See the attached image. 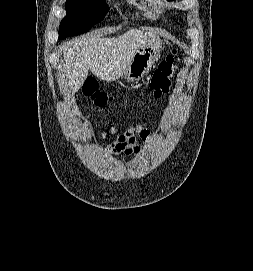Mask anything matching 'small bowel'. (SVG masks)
Listing matches in <instances>:
<instances>
[{"label":"small bowel","instance_id":"1","mask_svg":"<svg viewBox=\"0 0 253 271\" xmlns=\"http://www.w3.org/2000/svg\"><path fill=\"white\" fill-rule=\"evenodd\" d=\"M115 133L116 129L111 128ZM150 141L154 139V134L147 128L140 125H131L118 134L117 138L110 144L109 152L114 157L120 156H139L141 150L137 145L138 139Z\"/></svg>","mask_w":253,"mask_h":271}]
</instances>
